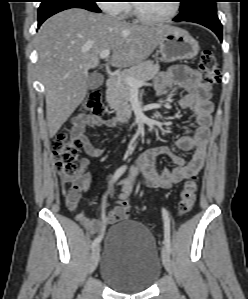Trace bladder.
I'll return each mask as SVG.
<instances>
[{"label": "bladder", "instance_id": "1", "mask_svg": "<svg viewBox=\"0 0 248 299\" xmlns=\"http://www.w3.org/2000/svg\"><path fill=\"white\" fill-rule=\"evenodd\" d=\"M160 274L161 260L148 229L123 220L108 230L100 261V275L107 285L121 293H140L148 290Z\"/></svg>", "mask_w": 248, "mask_h": 299}]
</instances>
